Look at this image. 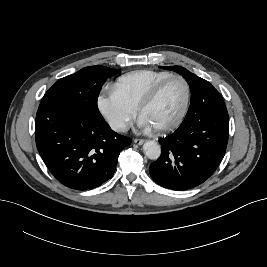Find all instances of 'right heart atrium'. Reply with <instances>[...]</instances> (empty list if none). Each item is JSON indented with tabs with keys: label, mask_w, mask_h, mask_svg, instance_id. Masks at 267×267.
<instances>
[{
	"label": "right heart atrium",
	"mask_w": 267,
	"mask_h": 267,
	"mask_svg": "<svg viewBox=\"0 0 267 267\" xmlns=\"http://www.w3.org/2000/svg\"><path fill=\"white\" fill-rule=\"evenodd\" d=\"M97 107L109 126L117 132L124 131L136 114V109L114 89L106 90L98 96Z\"/></svg>",
	"instance_id": "d8ad5b80"
}]
</instances>
